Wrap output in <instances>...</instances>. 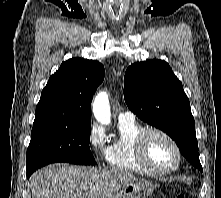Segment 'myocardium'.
Returning a JSON list of instances; mask_svg holds the SVG:
<instances>
[{
  "instance_id": "obj_1",
  "label": "myocardium",
  "mask_w": 221,
  "mask_h": 198,
  "mask_svg": "<svg viewBox=\"0 0 221 198\" xmlns=\"http://www.w3.org/2000/svg\"><path fill=\"white\" fill-rule=\"evenodd\" d=\"M153 134H157L166 138L174 147L176 151V155H177V160L173 167L159 168V167L154 166L149 161L148 156H147V141L149 137ZM135 149H136V156H137L139 163L145 169H147L150 173H153V174H157V175L171 174L180 167L181 162H182V151H181L179 144L168 132L160 128L152 127V128H146L143 131H141L136 139Z\"/></svg>"
}]
</instances>
